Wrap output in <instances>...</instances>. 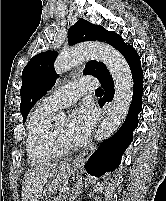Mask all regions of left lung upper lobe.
Returning a JSON list of instances; mask_svg holds the SVG:
<instances>
[{"label": "left lung upper lobe", "mask_w": 166, "mask_h": 201, "mask_svg": "<svg viewBox=\"0 0 166 201\" xmlns=\"http://www.w3.org/2000/svg\"><path fill=\"white\" fill-rule=\"evenodd\" d=\"M69 44L74 45L83 41L106 42L119 52L128 46L115 32L107 31L102 26L94 25L83 18L79 19L68 31ZM58 53L46 51L32 57L22 73V87L20 90V112L25 122L30 109L54 85L57 75L53 63ZM85 75L102 78L109 74L106 66L101 62L90 61L83 71Z\"/></svg>", "instance_id": "obj_1"}]
</instances>
